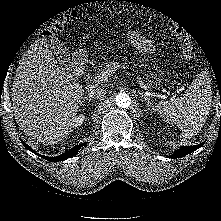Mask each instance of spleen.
Listing matches in <instances>:
<instances>
[{
	"instance_id": "1",
	"label": "spleen",
	"mask_w": 221,
	"mask_h": 221,
	"mask_svg": "<svg viewBox=\"0 0 221 221\" xmlns=\"http://www.w3.org/2000/svg\"><path fill=\"white\" fill-rule=\"evenodd\" d=\"M212 91L208 73L201 72L178 99L160 102L156 109L166 121L181 129V136L191 138L203 127L211 109Z\"/></svg>"
}]
</instances>
